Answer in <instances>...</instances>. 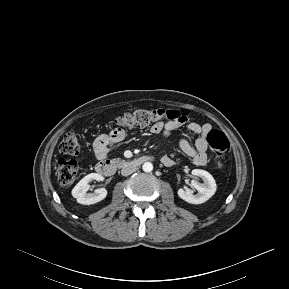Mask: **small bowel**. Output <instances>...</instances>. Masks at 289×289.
Here are the masks:
<instances>
[{
  "instance_id": "c3829d8e",
  "label": "small bowel",
  "mask_w": 289,
  "mask_h": 289,
  "mask_svg": "<svg viewBox=\"0 0 289 289\" xmlns=\"http://www.w3.org/2000/svg\"><path fill=\"white\" fill-rule=\"evenodd\" d=\"M187 124L186 133L179 142V148L183 154L192 159V162L197 166H205L209 159L207 155L208 140L207 136L212 130L209 123L199 124L197 122L189 121L186 116H182L179 120L173 122H157L150 128L152 134H161L164 138H168L171 133ZM196 135L197 138L194 143L191 142V137ZM127 136L125 129L115 128L109 134L99 135L94 143L93 150L97 159H106L108 149L122 142ZM162 163L171 167L175 161L169 156L162 157Z\"/></svg>"
}]
</instances>
